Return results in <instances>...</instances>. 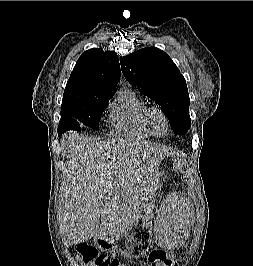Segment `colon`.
I'll use <instances>...</instances> for the list:
<instances>
[{
	"label": "colon",
	"mask_w": 253,
	"mask_h": 266,
	"mask_svg": "<svg viewBox=\"0 0 253 266\" xmlns=\"http://www.w3.org/2000/svg\"><path fill=\"white\" fill-rule=\"evenodd\" d=\"M76 257L84 266H126L120 260L101 254L94 246L86 242L75 244ZM149 266H178L174 255L155 250L148 256Z\"/></svg>",
	"instance_id": "5ec220e1"
}]
</instances>
